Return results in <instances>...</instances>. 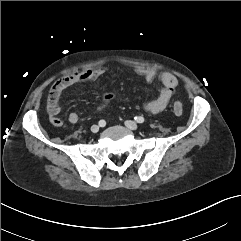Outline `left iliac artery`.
<instances>
[{"label": "left iliac artery", "mask_w": 241, "mask_h": 241, "mask_svg": "<svg viewBox=\"0 0 241 241\" xmlns=\"http://www.w3.org/2000/svg\"><path fill=\"white\" fill-rule=\"evenodd\" d=\"M134 119L137 123H143L145 121L144 117L142 116H136Z\"/></svg>", "instance_id": "44dca946"}]
</instances>
